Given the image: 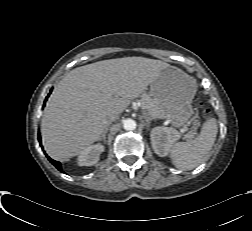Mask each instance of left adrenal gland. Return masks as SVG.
Segmentation results:
<instances>
[{"label":"left adrenal gland","mask_w":252,"mask_h":231,"mask_svg":"<svg viewBox=\"0 0 252 231\" xmlns=\"http://www.w3.org/2000/svg\"><path fill=\"white\" fill-rule=\"evenodd\" d=\"M145 120H146V126H147V129L149 130V127H150V123H151V121L153 120V118L152 117H150L148 114H145Z\"/></svg>","instance_id":"left-adrenal-gland-1"}]
</instances>
